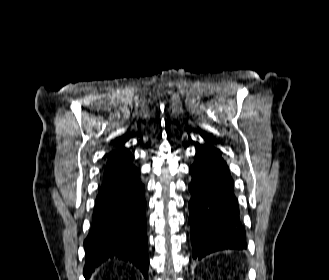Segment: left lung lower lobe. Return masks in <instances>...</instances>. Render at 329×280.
Returning <instances> with one entry per match:
<instances>
[{"label": "left lung lower lobe", "instance_id": "obj_1", "mask_svg": "<svg viewBox=\"0 0 329 280\" xmlns=\"http://www.w3.org/2000/svg\"><path fill=\"white\" fill-rule=\"evenodd\" d=\"M190 174L193 258L200 260L224 249H245V229L239 219L234 182L227 164L212 145L199 149Z\"/></svg>", "mask_w": 329, "mask_h": 280}]
</instances>
